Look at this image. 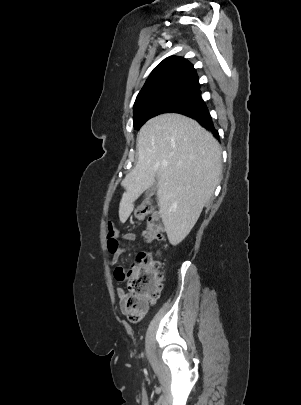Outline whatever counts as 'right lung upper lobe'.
I'll use <instances>...</instances> for the list:
<instances>
[{
	"label": "right lung upper lobe",
	"instance_id": "right-lung-upper-lobe-1",
	"mask_svg": "<svg viewBox=\"0 0 301 405\" xmlns=\"http://www.w3.org/2000/svg\"><path fill=\"white\" fill-rule=\"evenodd\" d=\"M180 88L200 91L198 76L189 61L182 57L170 56L152 71L139 92L134 106L150 95Z\"/></svg>",
	"mask_w": 301,
	"mask_h": 405
}]
</instances>
